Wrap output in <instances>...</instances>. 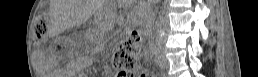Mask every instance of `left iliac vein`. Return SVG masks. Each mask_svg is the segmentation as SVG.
Instances as JSON below:
<instances>
[{"mask_svg": "<svg viewBox=\"0 0 258 77\" xmlns=\"http://www.w3.org/2000/svg\"><path fill=\"white\" fill-rule=\"evenodd\" d=\"M158 66L161 68V69H167L169 67V61L167 60V58L160 54L158 56Z\"/></svg>", "mask_w": 258, "mask_h": 77, "instance_id": "4c4485c4", "label": "left iliac vein"}]
</instances>
